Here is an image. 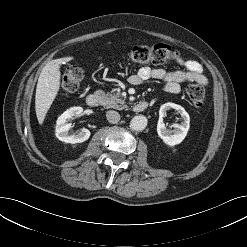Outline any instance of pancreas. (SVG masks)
I'll return each instance as SVG.
<instances>
[{
  "instance_id": "pancreas-1",
  "label": "pancreas",
  "mask_w": 247,
  "mask_h": 247,
  "mask_svg": "<svg viewBox=\"0 0 247 247\" xmlns=\"http://www.w3.org/2000/svg\"><path fill=\"white\" fill-rule=\"evenodd\" d=\"M96 95L100 98V103L107 108H114L122 110L127 108V104L124 99L121 98L119 93H105L102 90L96 91Z\"/></svg>"
}]
</instances>
